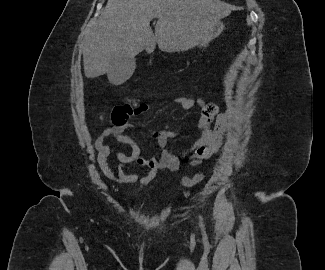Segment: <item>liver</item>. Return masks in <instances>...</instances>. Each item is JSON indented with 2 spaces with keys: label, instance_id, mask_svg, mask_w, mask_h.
Returning <instances> with one entry per match:
<instances>
[{
  "label": "liver",
  "instance_id": "liver-1",
  "mask_svg": "<svg viewBox=\"0 0 325 270\" xmlns=\"http://www.w3.org/2000/svg\"><path fill=\"white\" fill-rule=\"evenodd\" d=\"M231 7L220 0H108L105 9L83 42V66L87 78L107 73L112 84L131 77L118 73L112 60L134 59L145 48L183 52L200 45L217 21ZM158 18L155 31L150 21Z\"/></svg>",
  "mask_w": 325,
  "mask_h": 270
}]
</instances>
